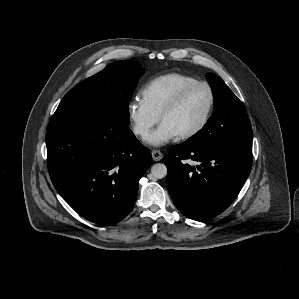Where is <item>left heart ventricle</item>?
Instances as JSON below:
<instances>
[{
	"label": "left heart ventricle",
	"mask_w": 299,
	"mask_h": 299,
	"mask_svg": "<svg viewBox=\"0 0 299 299\" xmlns=\"http://www.w3.org/2000/svg\"><path fill=\"white\" fill-rule=\"evenodd\" d=\"M209 103L205 87L197 86L188 92L180 105L165 115L161 122L172 127L178 135L195 128L203 119Z\"/></svg>",
	"instance_id": "obj_1"
}]
</instances>
